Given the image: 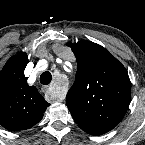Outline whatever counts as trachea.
Returning a JSON list of instances; mask_svg holds the SVG:
<instances>
[{
    "label": "trachea",
    "instance_id": "3493384b",
    "mask_svg": "<svg viewBox=\"0 0 145 145\" xmlns=\"http://www.w3.org/2000/svg\"><path fill=\"white\" fill-rule=\"evenodd\" d=\"M51 80H52V75L48 71L42 73L41 76H40V82L43 85H48L51 82Z\"/></svg>",
    "mask_w": 145,
    "mask_h": 145
}]
</instances>
